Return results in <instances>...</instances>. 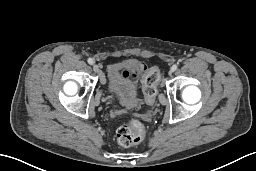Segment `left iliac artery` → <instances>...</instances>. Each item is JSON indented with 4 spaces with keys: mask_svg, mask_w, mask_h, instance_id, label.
<instances>
[{
    "mask_svg": "<svg viewBox=\"0 0 256 171\" xmlns=\"http://www.w3.org/2000/svg\"><path fill=\"white\" fill-rule=\"evenodd\" d=\"M177 68H178V65H177V64H174V65L171 67L172 71H175Z\"/></svg>",
    "mask_w": 256,
    "mask_h": 171,
    "instance_id": "left-iliac-artery-1",
    "label": "left iliac artery"
}]
</instances>
